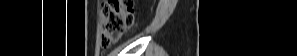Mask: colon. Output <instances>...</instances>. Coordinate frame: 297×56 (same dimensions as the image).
<instances>
[{
    "label": "colon",
    "instance_id": "colon-1",
    "mask_svg": "<svg viewBox=\"0 0 297 56\" xmlns=\"http://www.w3.org/2000/svg\"><path fill=\"white\" fill-rule=\"evenodd\" d=\"M133 1L107 0L101 4V46L116 43L134 22Z\"/></svg>",
    "mask_w": 297,
    "mask_h": 56
}]
</instances>
